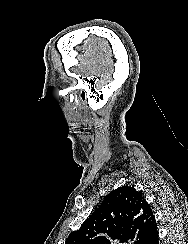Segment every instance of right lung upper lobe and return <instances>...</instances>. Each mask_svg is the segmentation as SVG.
<instances>
[{"label":"right lung upper lobe","mask_w":188,"mask_h":244,"mask_svg":"<svg viewBox=\"0 0 188 244\" xmlns=\"http://www.w3.org/2000/svg\"><path fill=\"white\" fill-rule=\"evenodd\" d=\"M156 225L142 194L134 187L121 186L105 197L65 244H143Z\"/></svg>","instance_id":"right-lung-upper-lobe-1"}]
</instances>
